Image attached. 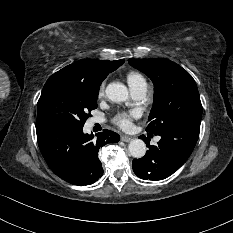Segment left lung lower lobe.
Listing matches in <instances>:
<instances>
[{
    "label": "left lung lower lobe",
    "mask_w": 233,
    "mask_h": 233,
    "mask_svg": "<svg viewBox=\"0 0 233 233\" xmlns=\"http://www.w3.org/2000/svg\"><path fill=\"white\" fill-rule=\"evenodd\" d=\"M201 119L193 118L183 121L159 134L161 140L157 146H150L141 159L133 160L134 173L145 180H163L177 171L192 153L199 137Z\"/></svg>",
    "instance_id": "0a47b994"
}]
</instances>
